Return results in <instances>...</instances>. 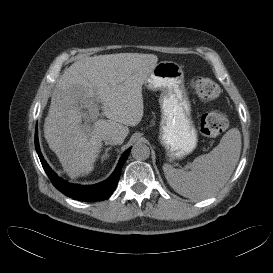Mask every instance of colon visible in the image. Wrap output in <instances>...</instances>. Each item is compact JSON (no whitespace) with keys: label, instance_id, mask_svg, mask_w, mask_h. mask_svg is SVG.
Masks as SVG:
<instances>
[{"label":"colon","instance_id":"1","mask_svg":"<svg viewBox=\"0 0 273 273\" xmlns=\"http://www.w3.org/2000/svg\"><path fill=\"white\" fill-rule=\"evenodd\" d=\"M192 89L201 100H212L219 94L218 85L206 77H197L192 81ZM228 126L226 115L218 110L205 113L200 121V131L205 137H216Z\"/></svg>","mask_w":273,"mask_h":273}]
</instances>
